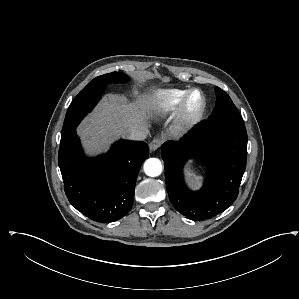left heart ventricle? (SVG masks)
I'll list each match as a JSON object with an SVG mask.
<instances>
[{"mask_svg":"<svg viewBox=\"0 0 299 299\" xmlns=\"http://www.w3.org/2000/svg\"><path fill=\"white\" fill-rule=\"evenodd\" d=\"M199 102V97L197 94H194L190 99V107H195Z\"/></svg>","mask_w":299,"mask_h":299,"instance_id":"obj_1","label":"left heart ventricle"}]
</instances>
